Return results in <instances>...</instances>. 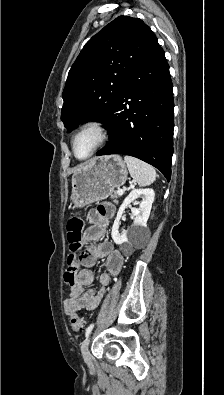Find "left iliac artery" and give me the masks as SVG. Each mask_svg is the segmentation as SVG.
I'll list each match as a JSON object with an SVG mask.
<instances>
[{"label": "left iliac artery", "mask_w": 224, "mask_h": 395, "mask_svg": "<svg viewBox=\"0 0 224 395\" xmlns=\"http://www.w3.org/2000/svg\"><path fill=\"white\" fill-rule=\"evenodd\" d=\"M94 328V324H90L87 328H86V332H85V336L88 337L89 334L91 333V331Z\"/></svg>", "instance_id": "left-iliac-artery-1"}]
</instances>
